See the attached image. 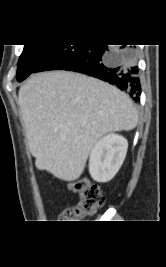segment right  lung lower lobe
Masks as SVG:
<instances>
[{"instance_id": "98d812e1", "label": "right lung lower lobe", "mask_w": 166, "mask_h": 267, "mask_svg": "<svg viewBox=\"0 0 166 267\" xmlns=\"http://www.w3.org/2000/svg\"><path fill=\"white\" fill-rule=\"evenodd\" d=\"M70 70L99 78L140 101L141 84L133 46L58 45L35 72Z\"/></svg>"}]
</instances>
